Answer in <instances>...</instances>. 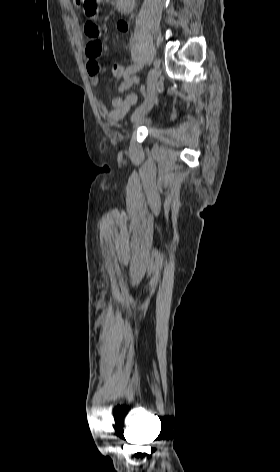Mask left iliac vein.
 Returning a JSON list of instances; mask_svg holds the SVG:
<instances>
[{
    "instance_id": "4c4485c4",
    "label": "left iliac vein",
    "mask_w": 280,
    "mask_h": 472,
    "mask_svg": "<svg viewBox=\"0 0 280 472\" xmlns=\"http://www.w3.org/2000/svg\"><path fill=\"white\" fill-rule=\"evenodd\" d=\"M159 72L156 68H152L147 77V90L144 102L132 114V122L142 120L145 115L153 108L157 99Z\"/></svg>"
}]
</instances>
